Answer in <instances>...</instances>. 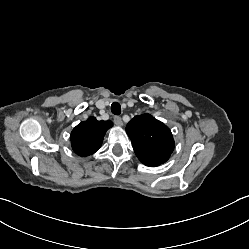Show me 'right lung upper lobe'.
Masks as SVG:
<instances>
[{"label": "right lung upper lobe", "mask_w": 249, "mask_h": 249, "mask_svg": "<svg viewBox=\"0 0 249 249\" xmlns=\"http://www.w3.org/2000/svg\"><path fill=\"white\" fill-rule=\"evenodd\" d=\"M113 126L112 121H98L95 117L78 124L71 133V144L79 156H89L102 145L106 131Z\"/></svg>", "instance_id": "cb5924a9"}]
</instances>
